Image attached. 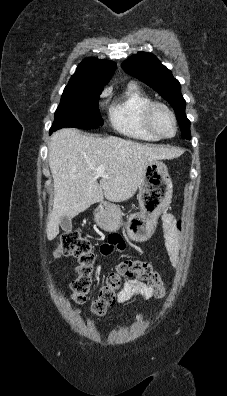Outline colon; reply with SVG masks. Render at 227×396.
<instances>
[{"label": "colon", "mask_w": 227, "mask_h": 396, "mask_svg": "<svg viewBox=\"0 0 227 396\" xmlns=\"http://www.w3.org/2000/svg\"><path fill=\"white\" fill-rule=\"evenodd\" d=\"M56 255L73 256L77 259L78 277L71 285L72 298L78 304L84 303L91 286V277L96 261L91 241L76 231L68 232L62 236L56 249ZM131 279L146 282L154 289L157 298H162L165 295V284L150 262L126 259L107 276L104 285L99 289L97 297L91 304L92 313L103 315L116 302L117 294L123 287V282Z\"/></svg>", "instance_id": "colon-1"}]
</instances>
